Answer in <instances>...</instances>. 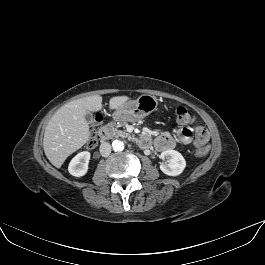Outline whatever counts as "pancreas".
<instances>
[{
  "label": "pancreas",
  "instance_id": "pancreas-1",
  "mask_svg": "<svg viewBox=\"0 0 265 265\" xmlns=\"http://www.w3.org/2000/svg\"><path fill=\"white\" fill-rule=\"evenodd\" d=\"M125 123L122 122L120 124H116L115 122L110 123V127L112 129L111 136L112 137H122V138H130V135L125 130L118 129L123 126Z\"/></svg>",
  "mask_w": 265,
  "mask_h": 265
}]
</instances>
